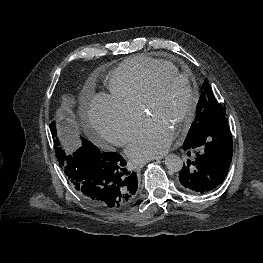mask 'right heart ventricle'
<instances>
[{
    "label": "right heart ventricle",
    "instance_id": "obj_1",
    "mask_svg": "<svg viewBox=\"0 0 263 263\" xmlns=\"http://www.w3.org/2000/svg\"><path fill=\"white\" fill-rule=\"evenodd\" d=\"M157 69L177 70L171 62L147 56L126 59L109 75L111 95L127 105L140 108L143 92Z\"/></svg>",
    "mask_w": 263,
    "mask_h": 263
}]
</instances>
